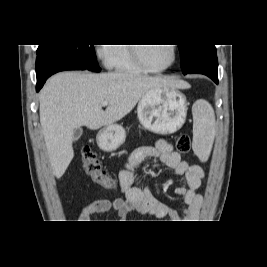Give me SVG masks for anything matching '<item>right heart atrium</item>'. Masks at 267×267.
Returning <instances> with one entry per match:
<instances>
[{
  "instance_id": "obj_1",
  "label": "right heart atrium",
  "mask_w": 267,
  "mask_h": 267,
  "mask_svg": "<svg viewBox=\"0 0 267 267\" xmlns=\"http://www.w3.org/2000/svg\"><path fill=\"white\" fill-rule=\"evenodd\" d=\"M96 56L103 61L106 66H110L111 47L108 44H100L96 46Z\"/></svg>"
}]
</instances>
